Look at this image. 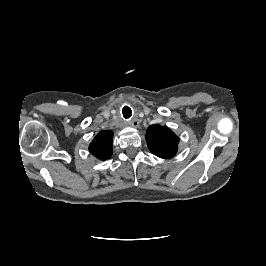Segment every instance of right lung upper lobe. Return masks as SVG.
<instances>
[{
	"label": "right lung upper lobe",
	"mask_w": 266,
	"mask_h": 266,
	"mask_svg": "<svg viewBox=\"0 0 266 266\" xmlns=\"http://www.w3.org/2000/svg\"><path fill=\"white\" fill-rule=\"evenodd\" d=\"M112 139H113V132L112 131H101L99 134L94 138L89 146V151L95 157L106 160L110 158L112 155Z\"/></svg>",
	"instance_id": "cb5924a9"
}]
</instances>
